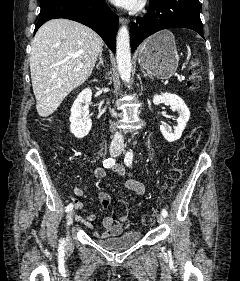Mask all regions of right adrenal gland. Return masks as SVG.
I'll list each match as a JSON object with an SVG mask.
<instances>
[{"label":"right adrenal gland","mask_w":240,"mask_h":281,"mask_svg":"<svg viewBox=\"0 0 240 281\" xmlns=\"http://www.w3.org/2000/svg\"><path fill=\"white\" fill-rule=\"evenodd\" d=\"M102 51H103V50H101L100 53H99V58H98L99 62H98V64L96 65V68H97V69H100V66H101V65L104 66V61H103V59H102Z\"/></svg>","instance_id":"1"}]
</instances>
